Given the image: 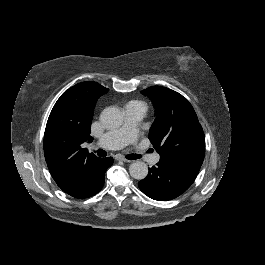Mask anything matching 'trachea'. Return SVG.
I'll return each instance as SVG.
<instances>
[{
	"mask_svg": "<svg viewBox=\"0 0 265 265\" xmlns=\"http://www.w3.org/2000/svg\"><path fill=\"white\" fill-rule=\"evenodd\" d=\"M152 152H153V149H149L147 151V153H152ZM96 153L100 157H105L107 155V152L102 150V149L97 150ZM126 158L129 160H135V159L142 158V155L141 154H128V155H126Z\"/></svg>",
	"mask_w": 265,
	"mask_h": 265,
	"instance_id": "1",
	"label": "trachea"
}]
</instances>
